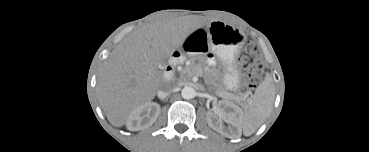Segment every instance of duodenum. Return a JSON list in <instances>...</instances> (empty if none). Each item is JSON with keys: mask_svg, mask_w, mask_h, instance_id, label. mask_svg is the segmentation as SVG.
Here are the masks:
<instances>
[{"mask_svg": "<svg viewBox=\"0 0 369 152\" xmlns=\"http://www.w3.org/2000/svg\"><path fill=\"white\" fill-rule=\"evenodd\" d=\"M173 74L174 73H173V67H172V65L167 66L166 69H165V71H164V75H163L164 80L165 81L171 80L173 78Z\"/></svg>", "mask_w": 369, "mask_h": 152, "instance_id": "obj_1", "label": "duodenum"}]
</instances>
